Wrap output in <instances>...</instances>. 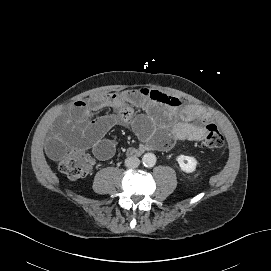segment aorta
Listing matches in <instances>:
<instances>
[{"instance_id":"aorta-1","label":"aorta","mask_w":271,"mask_h":271,"mask_svg":"<svg viewBox=\"0 0 271 271\" xmlns=\"http://www.w3.org/2000/svg\"><path fill=\"white\" fill-rule=\"evenodd\" d=\"M143 165L146 167H152L156 163V156L153 153H146L142 157Z\"/></svg>"}]
</instances>
